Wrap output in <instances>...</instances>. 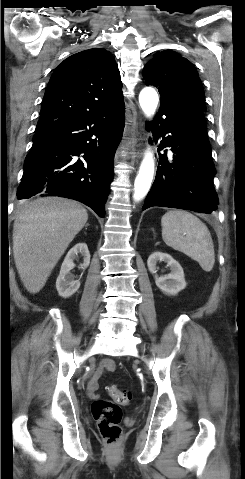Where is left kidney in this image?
I'll return each mask as SVG.
<instances>
[{
  "instance_id": "left-kidney-1",
  "label": "left kidney",
  "mask_w": 245,
  "mask_h": 479,
  "mask_svg": "<svg viewBox=\"0 0 245 479\" xmlns=\"http://www.w3.org/2000/svg\"><path fill=\"white\" fill-rule=\"evenodd\" d=\"M164 261L170 267L171 272L165 276H158L156 274L158 267L157 263ZM147 266L149 271L154 275L157 287L167 295H177L186 287L184 272L181 265L167 253L154 252L148 260Z\"/></svg>"
}]
</instances>
